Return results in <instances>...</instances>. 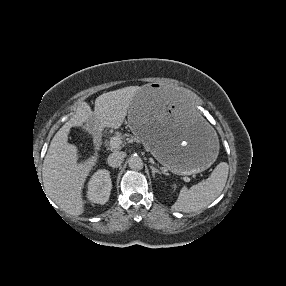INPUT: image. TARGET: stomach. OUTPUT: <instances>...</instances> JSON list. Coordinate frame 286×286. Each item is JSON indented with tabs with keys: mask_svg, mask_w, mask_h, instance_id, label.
Segmentation results:
<instances>
[{
	"mask_svg": "<svg viewBox=\"0 0 286 286\" xmlns=\"http://www.w3.org/2000/svg\"><path fill=\"white\" fill-rule=\"evenodd\" d=\"M128 126L174 174L200 173L217 158L215 129L173 87L161 83L140 87L128 110ZM87 129L93 131L92 119L87 122Z\"/></svg>",
	"mask_w": 286,
	"mask_h": 286,
	"instance_id": "obj_1",
	"label": "stomach"
}]
</instances>
